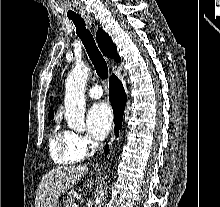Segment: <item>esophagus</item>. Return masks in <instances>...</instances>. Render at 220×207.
<instances>
[{"label":"esophagus","instance_id":"obj_1","mask_svg":"<svg viewBox=\"0 0 220 207\" xmlns=\"http://www.w3.org/2000/svg\"><path fill=\"white\" fill-rule=\"evenodd\" d=\"M85 19H86V21H87L90 25L93 24V18L90 17L89 15H85ZM113 139H114V136L112 135V137H111V142L113 141Z\"/></svg>","mask_w":220,"mask_h":207}]
</instances>
